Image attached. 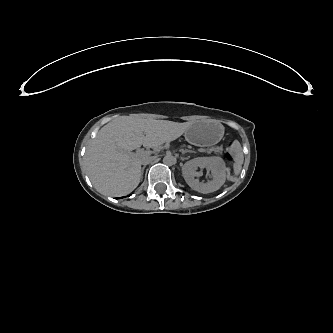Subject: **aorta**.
I'll list each match as a JSON object with an SVG mask.
<instances>
[{
  "mask_svg": "<svg viewBox=\"0 0 333 333\" xmlns=\"http://www.w3.org/2000/svg\"><path fill=\"white\" fill-rule=\"evenodd\" d=\"M176 162V158L171 153L166 154L163 158V163L167 166H172L176 164Z\"/></svg>",
  "mask_w": 333,
  "mask_h": 333,
  "instance_id": "762f6f07",
  "label": "aorta"
}]
</instances>
